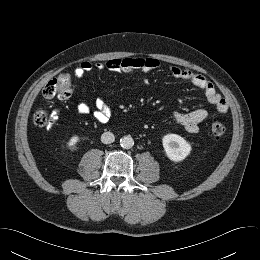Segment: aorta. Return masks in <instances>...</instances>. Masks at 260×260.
Returning a JSON list of instances; mask_svg holds the SVG:
<instances>
[{"mask_svg": "<svg viewBox=\"0 0 260 260\" xmlns=\"http://www.w3.org/2000/svg\"><path fill=\"white\" fill-rule=\"evenodd\" d=\"M133 145H134V140L130 135L124 136L120 139V146L123 149H130L133 147Z\"/></svg>", "mask_w": 260, "mask_h": 260, "instance_id": "762f6f07", "label": "aorta"}]
</instances>
